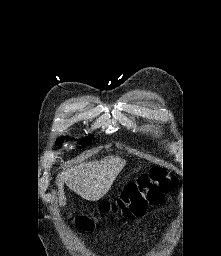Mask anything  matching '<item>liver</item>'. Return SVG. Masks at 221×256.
Here are the masks:
<instances>
[{"instance_id":"liver-1","label":"liver","mask_w":221,"mask_h":256,"mask_svg":"<svg viewBox=\"0 0 221 256\" xmlns=\"http://www.w3.org/2000/svg\"><path fill=\"white\" fill-rule=\"evenodd\" d=\"M126 164L124 159L108 156L101 160L72 166L57 176L60 206L66 205L64 183L88 201H98L111 189L113 182Z\"/></svg>"}]
</instances>
